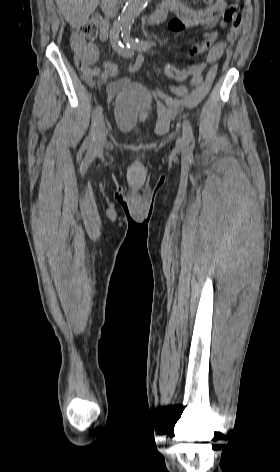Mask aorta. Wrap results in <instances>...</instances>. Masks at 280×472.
I'll return each instance as SVG.
<instances>
[{"label":"aorta","mask_w":280,"mask_h":472,"mask_svg":"<svg viewBox=\"0 0 280 472\" xmlns=\"http://www.w3.org/2000/svg\"><path fill=\"white\" fill-rule=\"evenodd\" d=\"M149 1L150 0H128L119 16V26L123 29L129 28L132 21L146 7Z\"/></svg>","instance_id":"1"}]
</instances>
